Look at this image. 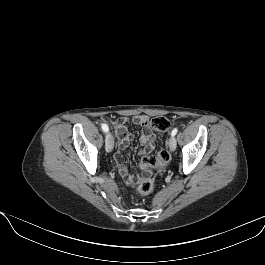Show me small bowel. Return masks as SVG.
I'll use <instances>...</instances> for the list:
<instances>
[{
	"label": "small bowel",
	"mask_w": 265,
	"mask_h": 265,
	"mask_svg": "<svg viewBox=\"0 0 265 265\" xmlns=\"http://www.w3.org/2000/svg\"><path fill=\"white\" fill-rule=\"evenodd\" d=\"M146 119V116L139 115L133 117L132 119L120 118L114 122L115 135L119 140L118 150L115 154V163L120 176L126 184H132L134 182V177L129 173L123 160V153L133 140V134L128 131L127 124L133 123L144 127L139 139L141 145L139 153L143 155L150 152L154 148V142L156 139L154 132L144 124Z\"/></svg>",
	"instance_id": "1"
}]
</instances>
